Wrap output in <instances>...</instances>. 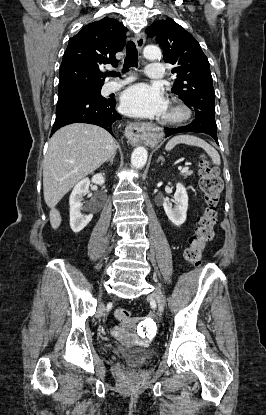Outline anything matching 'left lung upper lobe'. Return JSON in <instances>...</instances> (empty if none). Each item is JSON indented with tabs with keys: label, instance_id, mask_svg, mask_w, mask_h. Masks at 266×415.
<instances>
[{
	"label": "left lung upper lobe",
	"instance_id": "left-lung-upper-lobe-1",
	"mask_svg": "<svg viewBox=\"0 0 266 415\" xmlns=\"http://www.w3.org/2000/svg\"><path fill=\"white\" fill-rule=\"evenodd\" d=\"M148 35H156L164 61L174 65L176 76L172 92L194 109L196 117L190 127L217 134L215 121V92L210 65L196 39L170 18L153 22L146 29Z\"/></svg>",
	"mask_w": 266,
	"mask_h": 415
}]
</instances>
